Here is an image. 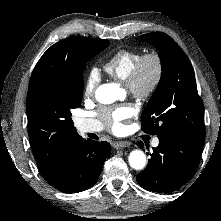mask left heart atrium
<instances>
[{
    "label": "left heart atrium",
    "mask_w": 221,
    "mask_h": 221,
    "mask_svg": "<svg viewBox=\"0 0 221 221\" xmlns=\"http://www.w3.org/2000/svg\"><path fill=\"white\" fill-rule=\"evenodd\" d=\"M100 115L113 132L120 133L125 127L126 120L132 117L133 110L129 106H119L104 109Z\"/></svg>",
    "instance_id": "1"
}]
</instances>
